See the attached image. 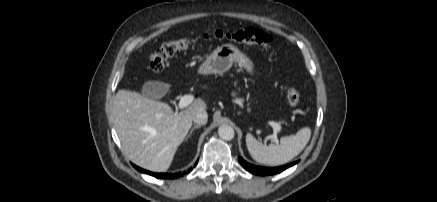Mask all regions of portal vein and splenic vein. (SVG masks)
<instances>
[{
    "mask_svg": "<svg viewBox=\"0 0 437 202\" xmlns=\"http://www.w3.org/2000/svg\"><path fill=\"white\" fill-rule=\"evenodd\" d=\"M193 100H194V97H193L192 95H184V96L181 97V99H180V102H179V104H178V108H179V109H184V108H186L188 105H190V104L193 102ZM269 125L272 126L274 132H273L272 135L267 136L265 140L267 141V140L270 139V140H273L274 142H278V139H277V132H279V131L281 130L280 125L277 124V123H275V122H273V121H270V122H269Z\"/></svg>",
    "mask_w": 437,
    "mask_h": 202,
    "instance_id": "obj_1",
    "label": "portal vein and splenic vein"
}]
</instances>
